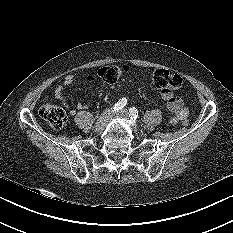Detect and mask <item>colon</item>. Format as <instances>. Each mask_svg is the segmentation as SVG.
Instances as JSON below:
<instances>
[{
	"mask_svg": "<svg viewBox=\"0 0 233 233\" xmlns=\"http://www.w3.org/2000/svg\"><path fill=\"white\" fill-rule=\"evenodd\" d=\"M129 71L128 66L108 65L98 70L97 76L107 83H115L122 75ZM154 89L161 91H175L182 87V78L169 70L157 69L150 78ZM40 117L46 121L52 128L61 129L67 120L66 112L59 106L45 102L39 109ZM187 120L183 124H187Z\"/></svg>",
	"mask_w": 233,
	"mask_h": 233,
	"instance_id": "5ec220e1",
	"label": "colon"
}]
</instances>
